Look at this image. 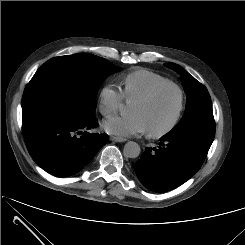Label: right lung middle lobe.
<instances>
[{"instance_id": "obj_1", "label": "right lung middle lobe", "mask_w": 245, "mask_h": 245, "mask_svg": "<svg viewBox=\"0 0 245 245\" xmlns=\"http://www.w3.org/2000/svg\"><path fill=\"white\" fill-rule=\"evenodd\" d=\"M63 75L62 81H30L22 98L23 128L53 120L84 122L95 117L96 95L108 75L122 70L92 54H73L49 60Z\"/></svg>"}]
</instances>
